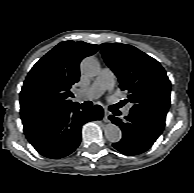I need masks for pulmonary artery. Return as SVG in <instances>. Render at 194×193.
Instances as JSON below:
<instances>
[{
  "instance_id": "1",
  "label": "pulmonary artery",
  "mask_w": 194,
  "mask_h": 193,
  "mask_svg": "<svg viewBox=\"0 0 194 193\" xmlns=\"http://www.w3.org/2000/svg\"><path fill=\"white\" fill-rule=\"evenodd\" d=\"M114 86V74L109 68L101 70L92 85L86 89L79 90L78 95L88 98L96 99L100 97L106 90L112 89ZM130 112V106L124 108L123 113L128 115Z\"/></svg>"
}]
</instances>
